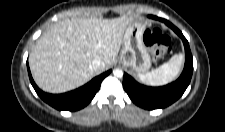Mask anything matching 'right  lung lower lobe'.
<instances>
[{
  "instance_id": "1",
  "label": "right lung lower lobe",
  "mask_w": 225,
  "mask_h": 132,
  "mask_svg": "<svg viewBox=\"0 0 225 132\" xmlns=\"http://www.w3.org/2000/svg\"><path fill=\"white\" fill-rule=\"evenodd\" d=\"M28 74L30 82L40 98L58 110L76 111L90 103L100 88L102 80L111 72V70L95 77L84 86L63 94H48L40 90L34 83L29 66Z\"/></svg>"
}]
</instances>
